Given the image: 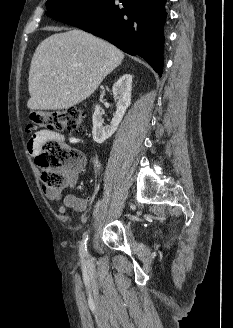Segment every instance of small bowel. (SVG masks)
<instances>
[{"label": "small bowel", "mask_w": 233, "mask_h": 328, "mask_svg": "<svg viewBox=\"0 0 233 328\" xmlns=\"http://www.w3.org/2000/svg\"><path fill=\"white\" fill-rule=\"evenodd\" d=\"M56 139L59 141H64L65 138L55 132L49 130H41L36 132L28 141L27 149L31 154H35L39 151L41 145L49 140ZM72 143L78 144L82 143L83 140L77 137L70 139ZM74 185V180L70 181V186ZM45 195L47 199L59 203V211L65 213L68 209H73L78 212H82L86 208V201L82 198L76 197L72 194L64 195L62 189H45Z\"/></svg>", "instance_id": "1"}]
</instances>
